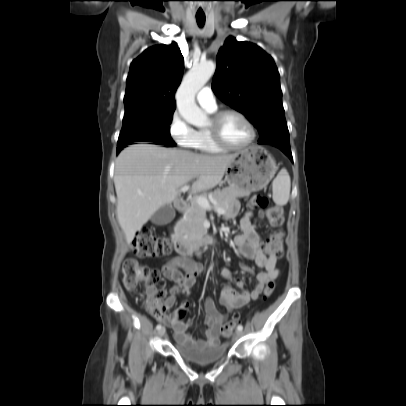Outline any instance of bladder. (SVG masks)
<instances>
[{"label": "bladder", "instance_id": "1", "mask_svg": "<svg viewBox=\"0 0 406 406\" xmlns=\"http://www.w3.org/2000/svg\"><path fill=\"white\" fill-rule=\"evenodd\" d=\"M176 349L182 357L189 361L197 364H209L223 358L228 348L226 345L220 344L197 347L176 341Z\"/></svg>", "mask_w": 406, "mask_h": 406}]
</instances>
